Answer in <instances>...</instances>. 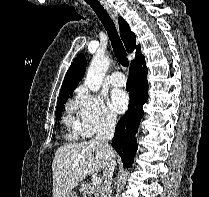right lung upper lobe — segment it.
I'll return each instance as SVG.
<instances>
[{"mask_svg": "<svg viewBox=\"0 0 209 197\" xmlns=\"http://www.w3.org/2000/svg\"><path fill=\"white\" fill-rule=\"evenodd\" d=\"M119 29L120 36L124 42V45L128 52H132L136 49V56L131 64L136 62L137 60L143 58L144 56L140 52V46L136 45V36L133 32H131L128 23L122 18L119 17ZM86 58L84 55H78L74 61L72 62L70 68L68 69L64 81L61 86L60 94L58 100L69 96L73 92V90L77 87L79 81L84 76V72L86 70Z\"/></svg>", "mask_w": 209, "mask_h": 197, "instance_id": "right-lung-upper-lobe-1", "label": "right lung upper lobe"}]
</instances>
